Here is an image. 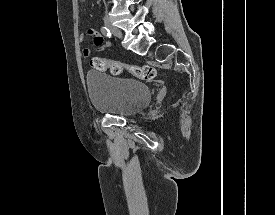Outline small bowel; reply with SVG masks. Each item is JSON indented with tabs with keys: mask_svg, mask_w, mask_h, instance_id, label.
Segmentation results:
<instances>
[{
	"mask_svg": "<svg viewBox=\"0 0 275 215\" xmlns=\"http://www.w3.org/2000/svg\"><path fill=\"white\" fill-rule=\"evenodd\" d=\"M86 35L92 38L95 46H98L100 48H109L112 46L110 41L104 42L103 36L98 31L88 30L86 34L80 35V40L83 41ZM82 54L85 57H88L90 55V49L82 48Z\"/></svg>",
	"mask_w": 275,
	"mask_h": 215,
	"instance_id": "c3829d8e",
	"label": "small bowel"
}]
</instances>
